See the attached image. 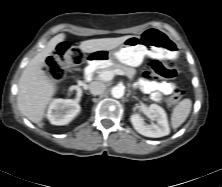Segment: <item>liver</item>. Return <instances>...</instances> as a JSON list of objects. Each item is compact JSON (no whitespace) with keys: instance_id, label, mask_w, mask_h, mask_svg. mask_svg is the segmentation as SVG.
<instances>
[{"instance_id":"6515ba94","label":"liver","mask_w":222,"mask_h":187,"mask_svg":"<svg viewBox=\"0 0 222 187\" xmlns=\"http://www.w3.org/2000/svg\"><path fill=\"white\" fill-rule=\"evenodd\" d=\"M129 37L131 36L86 40L80 43L79 48L84 53L98 50L109 51L120 46ZM64 39L65 34L63 33L54 36L44 49L30 60L19 79L17 105L20 112L33 123H41L46 107L56 92L55 83L42 69L45 59Z\"/></svg>"}]
</instances>
